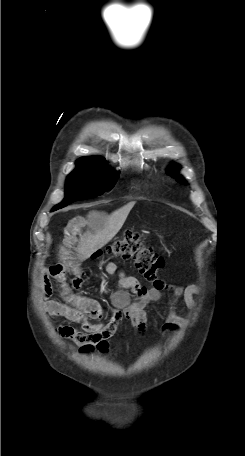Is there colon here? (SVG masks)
<instances>
[{
    "instance_id": "5ec220e1",
    "label": "colon",
    "mask_w": 245,
    "mask_h": 456,
    "mask_svg": "<svg viewBox=\"0 0 245 456\" xmlns=\"http://www.w3.org/2000/svg\"><path fill=\"white\" fill-rule=\"evenodd\" d=\"M107 251L115 257L133 259L136 269L157 290L167 289L166 282L159 277L163 260L154 252L142 235L137 232H126L112 242Z\"/></svg>"
}]
</instances>
